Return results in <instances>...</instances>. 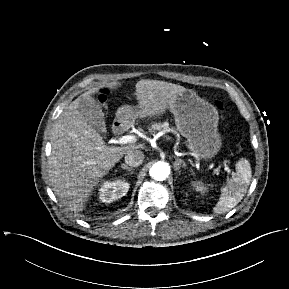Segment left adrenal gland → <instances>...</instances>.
<instances>
[{
    "instance_id": "left-adrenal-gland-1",
    "label": "left adrenal gland",
    "mask_w": 289,
    "mask_h": 289,
    "mask_svg": "<svg viewBox=\"0 0 289 289\" xmlns=\"http://www.w3.org/2000/svg\"><path fill=\"white\" fill-rule=\"evenodd\" d=\"M173 165H174V170L175 171H179L181 165L183 167H185V162L183 160H181V159L176 158ZM179 173H180V171H179Z\"/></svg>"
}]
</instances>
